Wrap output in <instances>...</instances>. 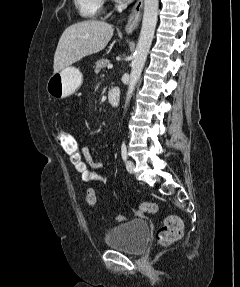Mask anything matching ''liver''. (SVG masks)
I'll return each instance as SVG.
<instances>
[{"label":"liver","instance_id":"obj_1","mask_svg":"<svg viewBox=\"0 0 240 287\" xmlns=\"http://www.w3.org/2000/svg\"><path fill=\"white\" fill-rule=\"evenodd\" d=\"M113 32L111 24L97 20L78 22L66 28L55 51L54 73L104 49Z\"/></svg>","mask_w":240,"mask_h":287}]
</instances>
